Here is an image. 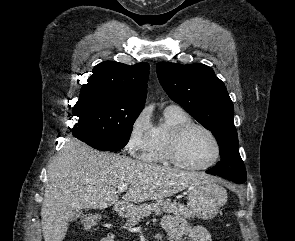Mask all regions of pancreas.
<instances>
[{
  "instance_id": "obj_1",
  "label": "pancreas",
  "mask_w": 295,
  "mask_h": 241,
  "mask_svg": "<svg viewBox=\"0 0 295 241\" xmlns=\"http://www.w3.org/2000/svg\"><path fill=\"white\" fill-rule=\"evenodd\" d=\"M163 212L173 213L177 216H182L185 219L193 217L192 211L183 204L179 202H171V200L158 199L150 204H142L138 207H133L129 213L125 227L135 226L141 219L152 213L161 215Z\"/></svg>"
}]
</instances>
